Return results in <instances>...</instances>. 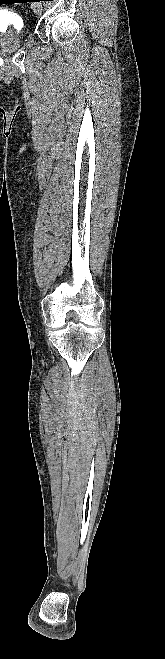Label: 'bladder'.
<instances>
[{"label":"bladder","mask_w":165,"mask_h":659,"mask_svg":"<svg viewBox=\"0 0 165 659\" xmlns=\"http://www.w3.org/2000/svg\"><path fill=\"white\" fill-rule=\"evenodd\" d=\"M26 34V29L16 21L12 22L5 32H0V37L6 39L21 38Z\"/></svg>","instance_id":"bladder-1"}]
</instances>
